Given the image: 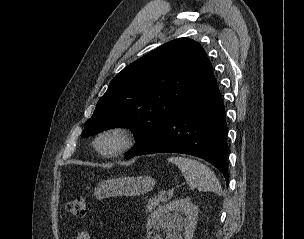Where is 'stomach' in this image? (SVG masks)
Masks as SVG:
<instances>
[{
  "label": "stomach",
  "mask_w": 304,
  "mask_h": 239,
  "mask_svg": "<svg viewBox=\"0 0 304 239\" xmlns=\"http://www.w3.org/2000/svg\"><path fill=\"white\" fill-rule=\"evenodd\" d=\"M156 181L150 176L110 178L98 184L94 195L97 199L111 196H137L153 189Z\"/></svg>",
  "instance_id": "stomach-1"
}]
</instances>
